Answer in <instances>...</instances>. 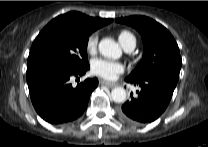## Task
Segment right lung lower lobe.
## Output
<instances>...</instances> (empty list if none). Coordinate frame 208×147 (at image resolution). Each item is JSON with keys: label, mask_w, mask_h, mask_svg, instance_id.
I'll list each match as a JSON object with an SVG mask.
<instances>
[{"label": "right lung lower lobe", "mask_w": 208, "mask_h": 147, "mask_svg": "<svg viewBox=\"0 0 208 147\" xmlns=\"http://www.w3.org/2000/svg\"><path fill=\"white\" fill-rule=\"evenodd\" d=\"M89 68V65L82 69L45 65L27 69L31 101L41 118L51 124H63L83 114L98 80L88 78L73 87L70 78L84 75Z\"/></svg>", "instance_id": "1"}]
</instances>
